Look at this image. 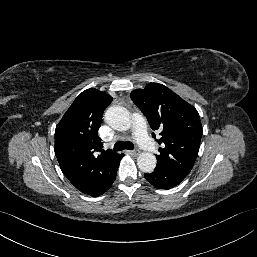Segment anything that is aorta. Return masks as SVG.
<instances>
[{
    "mask_svg": "<svg viewBox=\"0 0 257 257\" xmlns=\"http://www.w3.org/2000/svg\"><path fill=\"white\" fill-rule=\"evenodd\" d=\"M105 121L113 129L125 131L131 127L129 111L122 106H111L105 112ZM156 157L152 153L143 152L137 158V165L142 172L151 173L156 167Z\"/></svg>",
    "mask_w": 257,
    "mask_h": 257,
    "instance_id": "aorta-1",
    "label": "aorta"
}]
</instances>
